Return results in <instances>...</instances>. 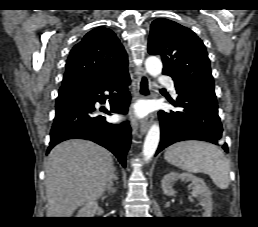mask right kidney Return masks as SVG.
I'll use <instances>...</instances> for the list:
<instances>
[{"instance_id": "ca27d5eb", "label": "right kidney", "mask_w": 258, "mask_h": 227, "mask_svg": "<svg viewBox=\"0 0 258 227\" xmlns=\"http://www.w3.org/2000/svg\"><path fill=\"white\" fill-rule=\"evenodd\" d=\"M98 209V204L95 201L86 203L77 213L76 217H94Z\"/></svg>"}]
</instances>
